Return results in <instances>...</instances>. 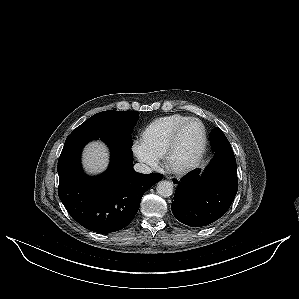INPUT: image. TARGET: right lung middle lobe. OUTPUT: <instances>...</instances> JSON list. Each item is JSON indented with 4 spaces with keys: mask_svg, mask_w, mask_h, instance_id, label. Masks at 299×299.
<instances>
[{
    "mask_svg": "<svg viewBox=\"0 0 299 299\" xmlns=\"http://www.w3.org/2000/svg\"><path fill=\"white\" fill-rule=\"evenodd\" d=\"M139 112H119L108 110L97 113L78 126L70 135H83L114 139L132 147L131 133Z\"/></svg>",
    "mask_w": 299,
    "mask_h": 299,
    "instance_id": "right-lung-middle-lobe-1",
    "label": "right lung middle lobe"
}]
</instances>
